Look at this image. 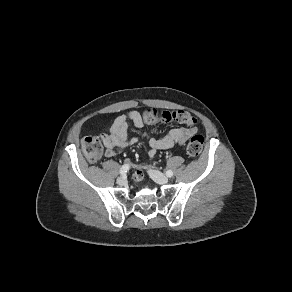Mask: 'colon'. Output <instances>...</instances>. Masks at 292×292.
Returning <instances> with one entry per match:
<instances>
[{
    "label": "colon",
    "instance_id": "obj_1",
    "mask_svg": "<svg viewBox=\"0 0 292 292\" xmlns=\"http://www.w3.org/2000/svg\"><path fill=\"white\" fill-rule=\"evenodd\" d=\"M144 120L148 123L157 121H175L178 123H194V118L186 111H158L146 109L142 112ZM204 139L201 135H194L186 145V152L190 157H198L203 150ZM82 151L89 162L98 161L103 154L102 135L88 136L81 140Z\"/></svg>",
    "mask_w": 292,
    "mask_h": 292
}]
</instances>
